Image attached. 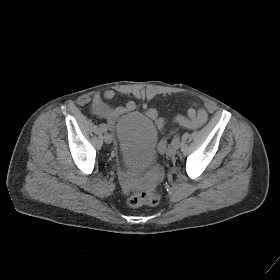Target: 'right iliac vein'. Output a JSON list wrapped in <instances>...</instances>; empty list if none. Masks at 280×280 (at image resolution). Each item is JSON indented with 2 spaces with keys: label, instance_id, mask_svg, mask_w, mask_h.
<instances>
[{
  "label": "right iliac vein",
  "instance_id": "1",
  "mask_svg": "<svg viewBox=\"0 0 280 280\" xmlns=\"http://www.w3.org/2000/svg\"><path fill=\"white\" fill-rule=\"evenodd\" d=\"M112 136L110 135V134H105L104 135V141H105V143H107V144H110L111 142H112Z\"/></svg>",
  "mask_w": 280,
  "mask_h": 280
}]
</instances>
